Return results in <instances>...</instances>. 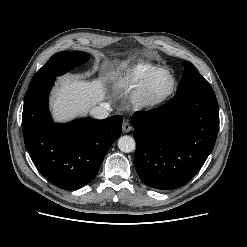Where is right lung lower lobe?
Listing matches in <instances>:
<instances>
[{
	"mask_svg": "<svg viewBox=\"0 0 247 247\" xmlns=\"http://www.w3.org/2000/svg\"><path fill=\"white\" fill-rule=\"evenodd\" d=\"M54 82L55 78H50L29 86L22 115L24 141L32 161L48 181L75 190L97 174L108 149L121 135L123 117L53 123L48 97Z\"/></svg>",
	"mask_w": 247,
	"mask_h": 247,
	"instance_id": "right-lung-lower-lobe-1",
	"label": "right lung lower lobe"
}]
</instances>
